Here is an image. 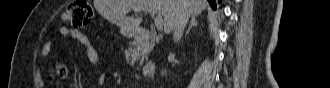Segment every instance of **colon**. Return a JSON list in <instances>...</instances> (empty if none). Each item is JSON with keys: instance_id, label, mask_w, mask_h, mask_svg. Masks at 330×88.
I'll use <instances>...</instances> for the list:
<instances>
[{"instance_id": "colon-1", "label": "colon", "mask_w": 330, "mask_h": 88, "mask_svg": "<svg viewBox=\"0 0 330 88\" xmlns=\"http://www.w3.org/2000/svg\"><path fill=\"white\" fill-rule=\"evenodd\" d=\"M93 16V9L86 0H78L71 3L63 14L64 27L66 25L74 28H82L88 25ZM55 73L59 78H64L67 75V68L62 63L55 65Z\"/></svg>"}]
</instances>
